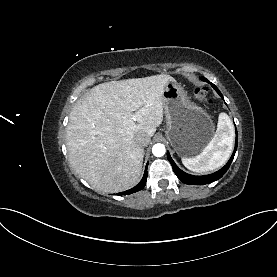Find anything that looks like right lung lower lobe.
<instances>
[{"instance_id":"1","label":"right lung lower lobe","mask_w":277,"mask_h":277,"mask_svg":"<svg viewBox=\"0 0 277 277\" xmlns=\"http://www.w3.org/2000/svg\"><path fill=\"white\" fill-rule=\"evenodd\" d=\"M146 179H147V166H146V169L144 172V176H143L142 180L139 182V184H137L135 187H133L127 191L118 193V195H128V194H132V193L140 191L141 189H143L145 187Z\"/></svg>"}]
</instances>
